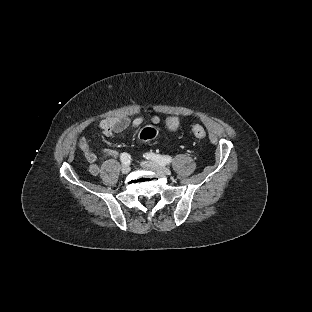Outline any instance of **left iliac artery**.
<instances>
[{
  "instance_id": "obj_1",
  "label": "left iliac artery",
  "mask_w": 312,
  "mask_h": 312,
  "mask_svg": "<svg viewBox=\"0 0 312 312\" xmlns=\"http://www.w3.org/2000/svg\"><path fill=\"white\" fill-rule=\"evenodd\" d=\"M144 157H146V159H151L152 161H154L160 165L169 164L173 160L170 156H163V155L154 154V153H146V155H144Z\"/></svg>"
}]
</instances>
